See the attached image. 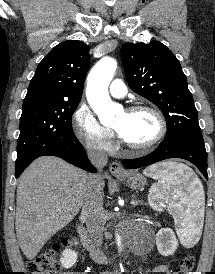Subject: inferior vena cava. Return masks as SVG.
Returning <instances> with one entry per match:
<instances>
[{
	"label": "inferior vena cava",
	"instance_id": "obj_1",
	"mask_svg": "<svg viewBox=\"0 0 215 274\" xmlns=\"http://www.w3.org/2000/svg\"><path fill=\"white\" fill-rule=\"evenodd\" d=\"M91 163L100 171L107 164V154L101 150L91 148L87 152ZM86 220L87 230L93 245L99 250L103 243L104 209L103 184L100 174H90L85 190L84 203L81 212Z\"/></svg>",
	"mask_w": 215,
	"mask_h": 274
}]
</instances>
